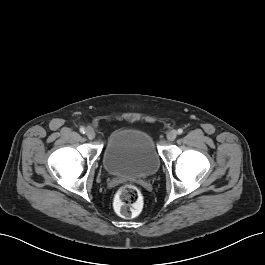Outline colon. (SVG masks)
<instances>
[{
    "instance_id": "obj_1",
    "label": "colon",
    "mask_w": 265,
    "mask_h": 265,
    "mask_svg": "<svg viewBox=\"0 0 265 265\" xmlns=\"http://www.w3.org/2000/svg\"><path fill=\"white\" fill-rule=\"evenodd\" d=\"M114 206L123 217L131 218L135 216L141 206L139 189L133 184L122 185L117 191Z\"/></svg>"
}]
</instances>
